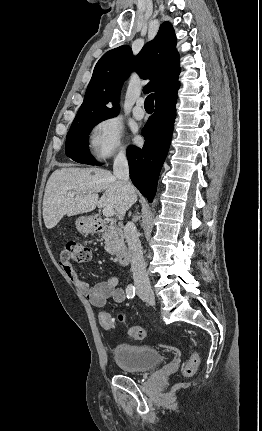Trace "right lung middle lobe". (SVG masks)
<instances>
[{
  "label": "right lung middle lobe",
  "instance_id": "dd1d6c3e",
  "mask_svg": "<svg viewBox=\"0 0 262 431\" xmlns=\"http://www.w3.org/2000/svg\"><path fill=\"white\" fill-rule=\"evenodd\" d=\"M105 119L107 118L74 119L66 138V155L79 163L100 165L89 152L88 134Z\"/></svg>",
  "mask_w": 262,
  "mask_h": 431
}]
</instances>
